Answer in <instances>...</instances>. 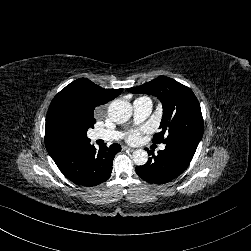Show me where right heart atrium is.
Returning <instances> with one entry per match:
<instances>
[{"mask_svg":"<svg viewBox=\"0 0 251 251\" xmlns=\"http://www.w3.org/2000/svg\"><path fill=\"white\" fill-rule=\"evenodd\" d=\"M104 110H105V106H101V107L99 108V112H100V113H102Z\"/></svg>","mask_w":251,"mask_h":251,"instance_id":"right-heart-atrium-1","label":"right heart atrium"}]
</instances>
